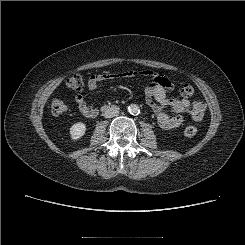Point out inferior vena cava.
Segmentation results:
<instances>
[{
	"mask_svg": "<svg viewBox=\"0 0 245 245\" xmlns=\"http://www.w3.org/2000/svg\"><path fill=\"white\" fill-rule=\"evenodd\" d=\"M119 114V110L117 108H109L104 112L105 118H112Z\"/></svg>",
	"mask_w": 245,
	"mask_h": 245,
	"instance_id": "1",
	"label": "inferior vena cava"
}]
</instances>
